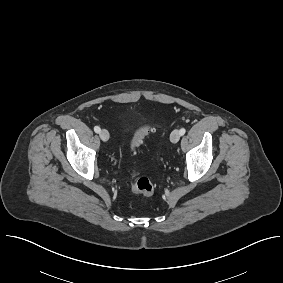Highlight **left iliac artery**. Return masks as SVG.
Wrapping results in <instances>:
<instances>
[{"label":"left iliac artery","instance_id":"1","mask_svg":"<svg viewBox=\"0 0 283 283\" xmlns=\"http://www.w3.org/2000/svg\"><path fill=\"white\" fill-rule=\"evenodd\" d=\"M185 132H186L185 128H181V129L179 130V133H180L181 136L184 135Z\"/></svg>","mask_w":283,"mask_h":283}]
</instances>
